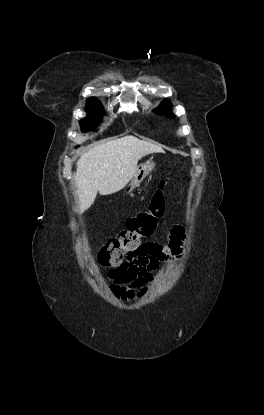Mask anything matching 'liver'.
Returning <instances> with one entry per match:
<instances>
[{"mask_svg":"<svg viewBox=\"0 0 264 415\" xmlns=\"http://www.w3.org/2000/svg\"><path fill=\"white\" fill-rule=\"evenodd\" d=\"M159 152H163L160 146L128 135L82 153L74 175L79 212L91 207L97 192L109 195L123 189L134 176L138 161Z\"/></svg>","mask_w":264,"mask_h":415,"instance_id":"6515ba94","label":"liver"}]
</instances>
